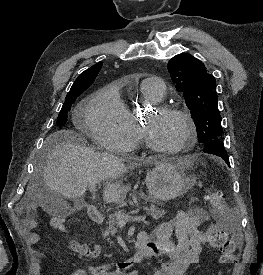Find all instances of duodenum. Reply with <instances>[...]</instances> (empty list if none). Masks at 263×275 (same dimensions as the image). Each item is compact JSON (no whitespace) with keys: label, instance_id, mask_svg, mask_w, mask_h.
<instances>
[{"label":"duodenum","instance_id":"duodenum-1","mask_svg":"<svg viewBox=\"0 0 263 275\" xmlns=\"http://www.w3.org/2000/svg\"><path fill=\"white\" fill-rule=\"evenodd\" d=\"M89 216L91 220L97 224L102 223L103 215L94 207H89L88 209ZM151 251L149 248L148 236L145 232L139 233L136 244H135V253L132 257L117 263V266L124 270L135 263L140 262L142 259L150 257Z\"/></svg>","mask_w":263,"mask_h":275}]
</instances>
